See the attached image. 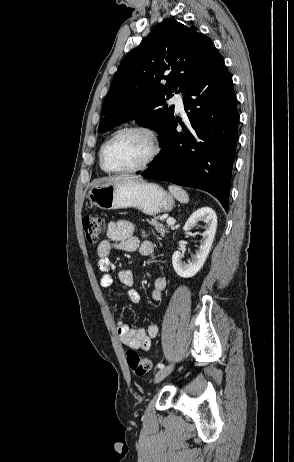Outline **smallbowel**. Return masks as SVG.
<instances>
[{
	"instance_id": "1",
	"label": "small bowel",
	"mask_w": 294,
	"mask_h": 462,
	"mask_svg": "<svg viewBox=\"0 0 294 462\" xmlns=\"http://www.w3.org/2000/svg\"><path fill=\"white\" fill-rule=\"evenodd\" d=\"M114 249L125 252L138 251L143 256H149L155 252L156 244L151 241L140 242L135 235V227L130 221L118 220L110 222L107 228V239L103 240L97 247L99 258L97 267L103 273L100 278V285L104 289L110 288L114 282L110 273L115 269V265L110 258V254ZM118 279L127 288L130 301L138 303L140 296L134 289L133 271L131 269H121L118 272ZM165 288L166 279L161 275L156 276L153 282L151 298L154 301H160ZM116 328L123 344L143 351H148L151 348L152 340L158 334L156 324H149L146 327H132L123 320H117Z\"/></svg>"
}]
</instances>
